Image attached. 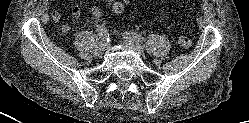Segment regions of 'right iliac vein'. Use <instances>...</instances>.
Listing matches in <instances>:
<instances>
[{"label": "right iliac vein", "mask_w": 249, "mask_h": 123, "mask_svg": "<svg viewBox=\"0 0 249 123\" xmlns=\"http://www.w3.org/2000/svg\"><path fill=\"white\" fill-rule=\"evenodd\" d=\"M100 47L102 50H107L109 48V43L107 41H102Z\"/></svg>", "instance_id": "63e3f726"}]
</instances>
